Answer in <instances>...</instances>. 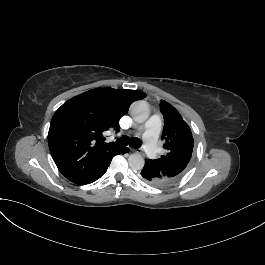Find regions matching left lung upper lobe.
Segmentation results:
<instances>
[{
	"instance_id": "1",
	"label": "left lung upper lobe",
	"mask_w": 265,
	"mask_h": 265,
	"mask_svg": "<svg viewBox=\"0 0 265 265\" xmlns=\"http://www.w3.org/2000/svg\"><path fill=\"white\" fill-rule=\"evenodd\" d=\"M160 110L164 117L162 139L165 140L166 155L158 160H149L170 183L178 181L186 172L193 152V137L190 127L179 112L165 100H160Z\"/></svg>"
}]
</instances>
